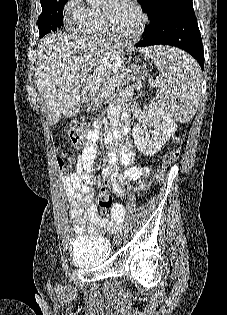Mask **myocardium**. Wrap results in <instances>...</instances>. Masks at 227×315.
<instances>
[{
  "mask_svg": "<svg viewBox=\"0 0 227 315\" xmlns=\"http://www.w3.org/2000/svg\"><path fill=\"white\" fill-rule=\"evenodd\" d=\"M125 1L128 2L135 9L136 13L138 14L140 18L138 29L131 36H122L116 33V31L112 27V24L110 22V19L107 13H105L102 10L100 12H101L103 25L106 29V32L108 33L110 37L120 40V41H124V42H133V41H136L138 38H140L141 35L143 34L146 28L147 22H148V17L146 13L144 12V10L141 8V6L135 0H125Z\"/></svg>",
  "mask_w": 227,
  "mask_h": 315,
  "instance_id": "obj_1",
  "label": "myocardium"
}]
</instances>
